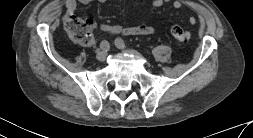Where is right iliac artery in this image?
<instances>
[{
	"instance_id": "right-iliac-artery-1",
	"label": "right iliac artery",
	"mask_w": 253,
	"mask_h": 138,
	"mask_svg": "<svg viewBox=\"0 0 253 138\" xmlns=\"http://www.w3.org/2000/svg\"><path fill=\"white\" fill-rule=\"evenodd\" d=\"M100 48L104 51H107L109 49V43L108 41L106 40H103L101 43H100Z\"/></svg>"
}]
</instances>
